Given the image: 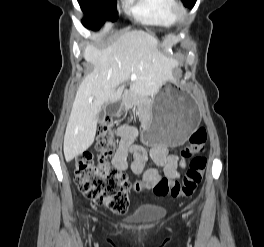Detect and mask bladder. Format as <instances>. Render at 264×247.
<instances>
[{"instance_id":"bladder-1","label":"bladder","mask_w":264,"mask_h":247,"mask_svg":"<svg viewBox=\"0 0 264 247\" xmlns=\"http://www.w3.org/2000/svg\"><path fill=\"white\" fill-rule=\"evenodd\" d=\"M164 214L163 207L153 203H145L138 206L129 218L137 223H152L160 220Z\"/></svg>"}]
</instances>
